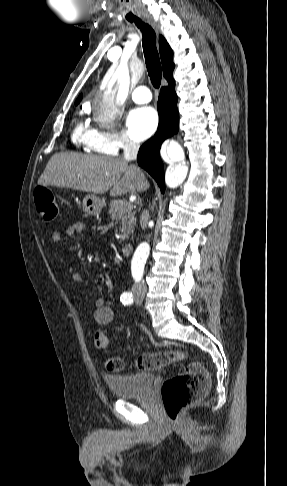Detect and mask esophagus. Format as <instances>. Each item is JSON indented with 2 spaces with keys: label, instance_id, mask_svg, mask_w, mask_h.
<instances>
[{
  "label": "esophagus",
  "instance_id": "obj_1",
  "mask_svg": "<svg viewBox=\"0 0 287 486\" xmlns=\"http://www.w3.org/2000/svg\"><path fill=\"white\" fill-rule=\"evenodd\" d=\"M148 22H149V23L152 25V27H153V28L156 30V26H155V24H154L152 21H150V20H148Z\"/></svg>",
  "mask_w": 287,
  "mask_h": 486
}]
</instances>
